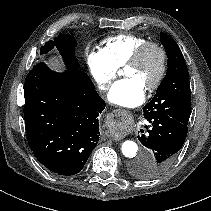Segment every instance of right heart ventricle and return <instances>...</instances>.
Wrapping results in <instances>:
<instances>
[{"label": "right heart ventricle", "mask_w": 211, "mask_h": 211, "mask_svg": "<svg viewBox=\"0 0 211 211\" xmlns=\"http://www.w3.org/2000/svg\"><path fill=\"white\" fill-rule=\"evenodd\" d=\"M147 39L134 34H119L102 42V51L116 67H122L134 51Z\"/></svg>", "instance_id": "e07e8e85"}]
</instances>
